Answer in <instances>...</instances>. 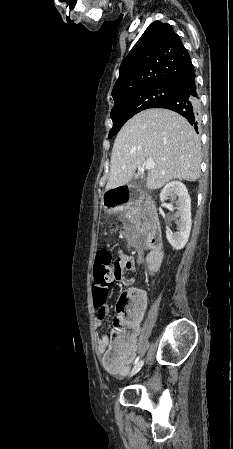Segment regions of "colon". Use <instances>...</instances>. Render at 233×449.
<instances>
[{
  "instance_id": "obj_1",
  "label": "colon",
  "mask_w": 233,
  "mask_h": 449,
  "mask_svg": "<svg viewBox=\"0 0 233 449\" xmlns=\"http://www.w3.org/2000/svg\"><path fill=\"white\" fill-rule=\"evenodd\" d=\"M111 253L106 249L97 252L93 266V305L98 310L106 302L109 293L111 268L113 267ZM145 304V295L139 289L133 288L120 296L117 308L118 314L113 319L114 349L125 351L130 338L139 329V319ZM111 354L105 355L103 365L115 369L122 364Z\"/></svg>"
}]
</instances>
